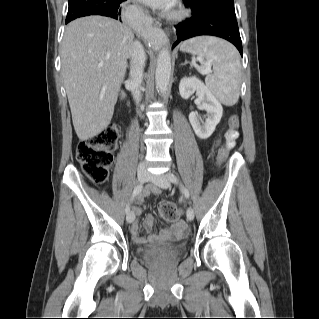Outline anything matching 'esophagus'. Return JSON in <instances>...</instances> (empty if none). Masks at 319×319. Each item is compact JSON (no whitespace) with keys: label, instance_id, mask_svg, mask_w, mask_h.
<instances>
[{"label":"esophagus","instance_id":"34e87169","mask_svg":"<svg viewBox=\"0 0 319 319\" xmlns=\"http://www.w3.org/2000/svg\"><path fill=\"white\" fill-rule=\"evenodd\" d=\"M153 38L149 40L152 46H159L162 42L167 41V36L164 30L159 25H154L152 28Z\"/></svg>","mask_w":319,"mask_h":319}]
</instances>
